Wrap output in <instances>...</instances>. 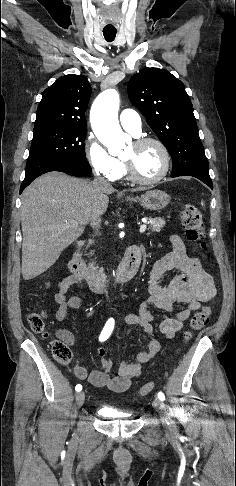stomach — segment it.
<instances>
[{
	"label": "stomach",
	"mask_w": 236,
	"mask_h": 486,
	"mask_svg": "<svg viewBox=\"0 0 236 486\" xmlns=\"http://www.w3.org/2000/svg\"><path fill=\"white\" fill-rule=\"evenodd\" d=\"M130 202H139L145 209L158 211L165 208L170 200L169 195L162 190H151L137 198H129Z\"/></svg>",
	"instance_id": "0dacf381"
}]
</instances>
